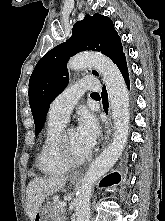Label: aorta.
<instances>
[{"label": "aorta", "mask_w": 165, "mask_h": 221, "mask_svg": "<svg viewBox=\"0 0 165 221\" xmlns=\"http://www.w3.org/2000/svg\"><path fill=\"white\" fill-rule=\"evenodd\" d=\"M94 67L103 77L110 100L114 122L113 141L89 166L76 197V221L90 220V197L95 183L105 175L122 155L129 134V96L118 67L105 55L84 53L73 57L68 69L78 71Z\"/></svg>", "instance_id": "1"}]
</instances>
